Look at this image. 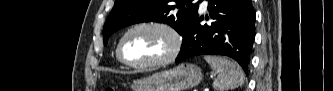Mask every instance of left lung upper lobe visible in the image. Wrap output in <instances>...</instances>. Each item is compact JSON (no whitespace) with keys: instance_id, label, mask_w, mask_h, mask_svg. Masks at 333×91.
<instances>
[{"instance_id":"1","label":"left lung upper lobe","mask_w":333,"mask_h":91,"mask_svg":"<svg viewBox=\"0 0 333 91\" xmlns=\"http://www.w3.org/2000/svg\"><path fill=\"white\" fill-rule=\"evenodd\" d=\"M197 10L192 0H116L103 28L104 45L115 31L146 21L169 24L183 35Z\"/></svg>"}]
</instances>
